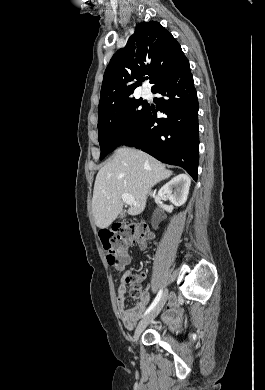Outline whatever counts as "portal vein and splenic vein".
<instances>
[{"instance_id":"obj_1","label":"portal vein and splenic vein","mask_w":265,"mask_h":390,"mask_svg":"<svg viewBox=\"0 0 265 390\" xmlns=\"http://www.w3.org/2000/svg\"><path fill=\"white\" fill-rule=\"evenodd\" d=\"M122 200L130 205V206H135L137 205V202L135 201L134 197L132 195H129V194H122Z\"/></svg>"}]
</instances>
